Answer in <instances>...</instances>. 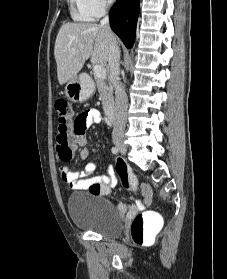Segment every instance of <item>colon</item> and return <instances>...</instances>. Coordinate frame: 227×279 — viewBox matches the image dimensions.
I'll list each match as a JSON object with an SVG mask.
<instances>
[{
  "label": "colon",
  "instance_id": "colon-1",
  "mask_svg": "<svg viewBox=\"0 0 227 279\" xmlns=\"http://www.w3.org/2000/svg\"><path fill=\"white\" fill-rule=\"evenodd\" d=\"M57 134H56V151L62 161H69L74 157L73 135L82 132L85 128L86 113L74 116L71 105L63 99L55 102ZM119 174H126L128 168L125 165L117 166ZM92 191L99 192L101 186L92 183L89 187ZM157 223L152 212L144 211L139 213L133 220L131 226V236L135 243L148 241L157 231Z\"/></svg>",
  "mask_w": 227,
  "mask_h": 279
}]
</instances>
